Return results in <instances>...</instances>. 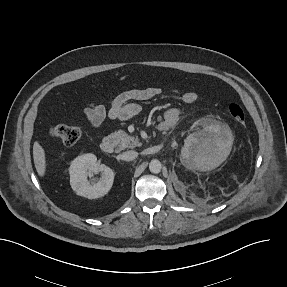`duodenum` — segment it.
<instances>
[{
	"label": "duodenum",
	"mask_w": 287,
	"mask_h": 287,
	"mask_svg": "<svg viewBox=\"0 0 287 287\" xmlns=\"http://www.w3.org/2000/svg\"><path fill=\"white\" fill-rule=\"evenodd\" d=\"M101 150L102 152L106 153V154H110L113 152L114 150V141L112 138L110 137H106L103 139V141L101 142Z\"/></svg>",
	"instance_id": "410a0bca"
}]
</instances>
